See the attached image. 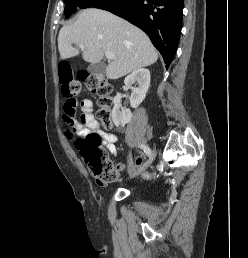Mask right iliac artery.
I'll use <instances>...</instances> for the list:
<instances>
[{
	"label": "right iliac artery",
	"mask_w": 248,
	"mask_h": 258,
	"mask_svg": "<svg viewBox=\"0 0 248 258\" xmlns=\"http://www.w3.org/2000/svg\"><path fill=\"white\" fill-rule=\"evenodd\" d=\"M140 148L144 151V153L148 156V157H151L152 155V152H151V149L147 146V145H139Z\"/></svg>",
	"instance_id": "obj_1"
}]
</instances>
